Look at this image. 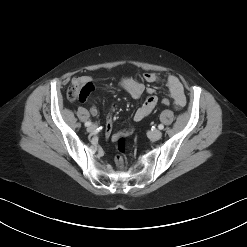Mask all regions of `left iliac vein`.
<instances>
[{
	"label": "left iliac vein",
	"instance_id": "1",
	"mask_svg": "<svg viewBox=\"0 0 247 247\" xmlns=\"http://www.w3.org/2000/svg\"><path fill=\"white\" fill-rule=\"evenodd\" d=\"M150 137L154 140H158L162 137V132L160 130H153L150 133Z\"/></svg>",
	"mask_w": 247,
	"mask_h": 247
}]
</instances>
